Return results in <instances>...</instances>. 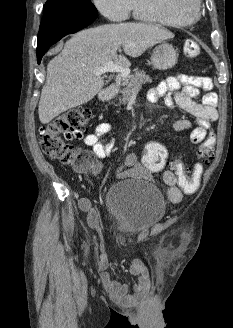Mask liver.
I'll use <instances>...</instances> for the list:
<instances>
[{"label": "liver", "instance_id": "obj_1", "mask_svg": "<svg viewBox=\"0 0 233 328\" xmlns=\"http://www.w3.org/2000/svg\"><path fill=\"white\" fill-rule=\"evenodd\" d=\"M173 37L171 31L146 23L106 24L76 33L48 63L38 108L41 123L93 99L104 85L102 76L94 73L96 68L109 61L128 68L129 60L117 54L121 46L136 58Z\"/></svg>", "mask_w": 233, "mask_h": 328}]
</instances>
